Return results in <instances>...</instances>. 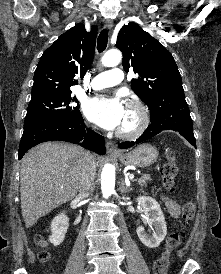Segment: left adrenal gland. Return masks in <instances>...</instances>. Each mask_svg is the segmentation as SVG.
Masks as SVG:
<instances>
[{"instance_id": "left-adrenal-gland-1", "label": "left adrenal gland", "mask_w": 221, "mask_h": 274, "mask_svg": "<svg viewBox=\"0 0 221 274\" xmlns=\"http://www.w3.org/2000/svg\"><path fill=\"white\" fill-rule=\"evenodd\" d=\"M119 190L123 194V193L129 192V191H132V188L131 187H127L125 185L124 181H121Z\"/></svg>"}]
</instances>
